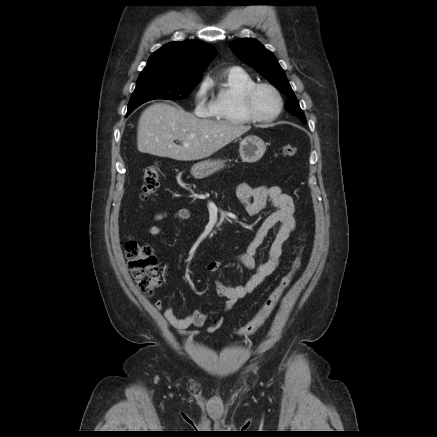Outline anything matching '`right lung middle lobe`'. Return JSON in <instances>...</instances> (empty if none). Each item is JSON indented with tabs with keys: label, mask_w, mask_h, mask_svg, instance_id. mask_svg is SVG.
Wrapping results in <instances>:
<instances>
[{
	"label": "right lung middle lobe",
	"mask_w": 437,
	"mask_h": 437,
	"mask_svg": "<svg viewBox=\"0 0 437 437\" xmlns=\"http://www.w3.org/2000/svg\"><path fill=\"white\" fill-rule=\"evenodd\" d=\"M200 80L181 78L160 70L141 72L129 101L127 115L149 100L186 98Z\"/></svg>",
	"instance_id": "right-lung-middle-lobe-1"
}]
</instances>
